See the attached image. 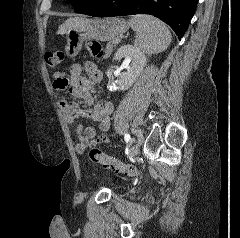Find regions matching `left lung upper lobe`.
<instances>
[{"label": "left lung upper lobe", "instance_id": "left-lung-upper-lobe-1", "mask_svg": "<svg viewBox=\"0 0 240 238\" xmlns=\"http://www.w3.org/2000/svg\"><path fill=\"white\" fill-rule=\"evenodd\" d=\"M74 10L78 13L91 6L96 0H70Z\"/></svg>", "mask_w": 240, "mask_h": 238}]
</instances>
